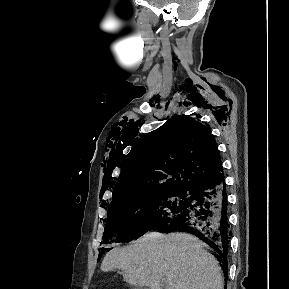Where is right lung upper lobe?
Listing matches in <instances>:
<instances>
[{
  "mask_svg": "<svg viewBox=\"0 0 289 289\" xmlns=\"http://www.w3.org/2000/svg\"><path fill=\"white\" fill-rule=\"evenodd\" d=\"M221 172V157L209 127L179 116L133 146L110 205L159 190H191Z\"/></svg>",
  "mask_w": 289,
  "mask_h": 289,
  "instance_id": "obj_1",
  "label": "right lung upper lobe"
}]
</instances>
